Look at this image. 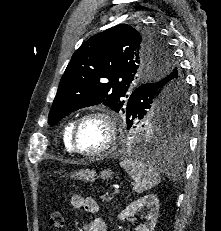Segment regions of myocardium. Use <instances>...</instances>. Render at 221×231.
<instances>
[{"label":"myocardium","instance_id":"f54148a6","mask_svg":"<svg viewBox=\"0 0 221 231\" xmlns=\"http://www.w3.org/2000/svg\"><path fill=\"white\" fill-rule=\"evenodd\" d=\"M91 118H100L102 119L109 130V135H108V140L106 142V144L95 150V151H83L81 150L78 145H77V132L78 129L80 127V125L88 119ZM71 147L73 149V151L81 156L84 157H98L101 156L107 152H109L110 150H112L118 142V123H117V119L115 117V115L109 111V110H105V109H95V110H91L88 111L86 113H84L83 115H81L73 124L72 126V130H71Z\"/></svg>","mask_w":221,"mask_h":231}]
</instances>
